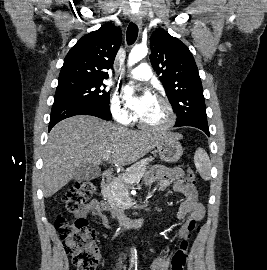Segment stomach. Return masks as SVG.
I'll return each mask as SVG.
<instances>
[{"label": "stomach", "instance_id": "stomach-1", "mask_svg": "<svg viewBox=\"0 0 267 270\" xmlns=\"http://www.w3.org/2000/svg\"><path fill=\"white\" fill-rule=\"evenodd\" d=\"M156 152L161 160L165 162H176L182 156L183 149L177 138L169 137L157 146Z\"/></svg>", "mask_w": 267, "mask_h": 270}]
</instances>
